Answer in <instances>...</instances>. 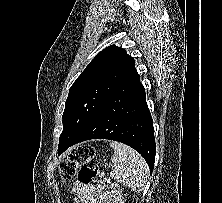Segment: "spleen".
<instances>
[{"instance_id":"1","label":"spleen","mask_w":222,"mask_h":203,"mask_svg":"<svg viewBox=\"0 0 222 203\" xmlns=\"http://www.w3.org/2000/svg\"><path fill=\"white\" fill-rule=\"evenodd\" d=\"M110 146L114 150L111 161L115 165L110 175L118 183L131 188L132 191H142L149 176V168L143 157L120 142H111Z\"/></svg>"}]
</instances>
